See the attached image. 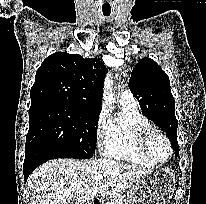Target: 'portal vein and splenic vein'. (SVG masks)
<instances>
[{"mask_svg": "<svg viewBox=\"0 0 206 204\" xmlns=\"http://www.w3.org/2000/svg\"><path fill=\"white\" fill-rule=\"evenodd\" d=\"M95 180H96L97 182H100V181L103 180V176H102V175L96 176V177H95Z\"/></svg>", "mask_w": 206, "mask_h": 204, "instance_id": "1", "label": "portal vein and splenic vein"}]
</instances>
